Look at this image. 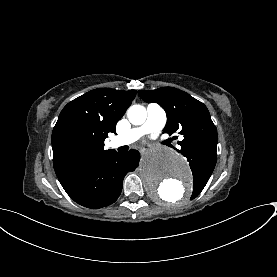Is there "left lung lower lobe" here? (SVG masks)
I'll return each mask as SVG.
<instances>
[{"instance_id": "1", "label": "left lung lower lobe", "mask_w": 277, "mask_h": 277, "mask_svg": "<svg viewBox=\"0 0 277 277\" xmlns=\"http://www.w3.org/2000/svg\"><path fill=\"white\" fill-rule=\"evenodd\" d=\"M180 153L187 157L191 170L201 165L212 169L215 167L217 160L215 145H204L198 148L181 151Z\"/></svg>"}]
</instances>
